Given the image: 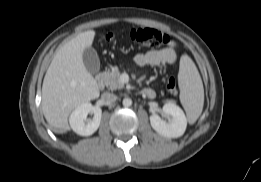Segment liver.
I'll list each match as a JSON object with an SVG mask.
<instances>
[{"mask_svg": "<svg viewBox=\"0 0 261 182\" xmlns=\"http://www.w3.org/2000/svg\"><path fill=\"white\" fill-rule=\"evenodd\" d=\"M95 31H85L64 44L55 54L42 85V111L47 122L60 132L70 129L68 117L79 105L99 97L97 82L83 63Z\"/></svg>", "mask_w": 261, "mask_h": 182, "instance_id": "1", "label": "liver"}]
</instances>
